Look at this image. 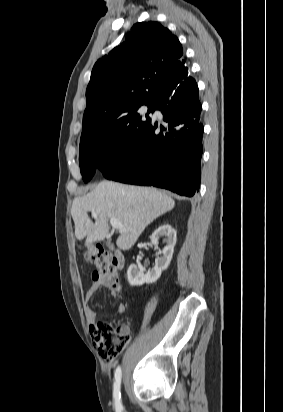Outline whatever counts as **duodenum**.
Listing matches in <instances>:
<instances>
[{
    "label": "duodenum",
    "instance_id": "obj_1",
    "mask_svg": "<svg viewBox=\"0 0 283 412\" xmlns=\"http://www.w3.org/2000/svg\"><path fill=\"white\" fill-rule=\"evenodd\" d=\"M114 259L119 267H122L124 263V258L122 253L119 250H116L114 253Z\"/></svg>",
    "mask_w": 283,
    "mask_h": 412
}]
</instances>
